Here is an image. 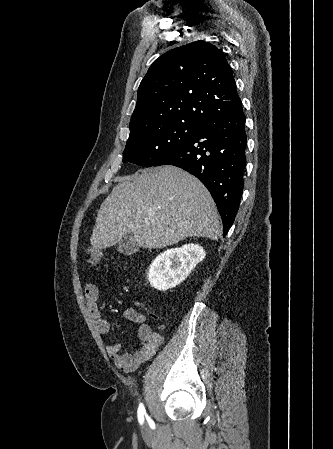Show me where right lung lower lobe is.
<instances>
[{"label": "right lung lower lobe", "mask_w": 333, "mask_h": 449, "mask_svg": "<svg viewBox=\"0 0 333 449\" xmlns=\"http://www.w3.org/2000/svg\"><path fill=\"white\" fill-rule=\"evenodd\" d=\"M245 115L241 101L205 120L187 141L155 166L174 165L210 191L223 222V236L239 209L246 167Z\"/></svg>", "instance_id": "right-lung-lower-lobe-1"}]
</instances>
